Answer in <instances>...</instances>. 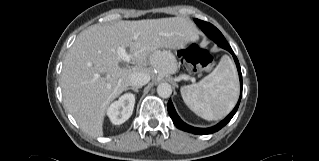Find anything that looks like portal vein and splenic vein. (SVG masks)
Here are the masks:
<instances>
[{"instance_id": "1", "label": "portal vein and splenic vein", "mask_w": 319, "mask_h": 161, "mask_svg": "<svg viewBox=\"0 0 319 161\" xmlns=\"http://www.w3.org/2000/svg\"><path fill=\"white\" fill-rule=\"evenodd\" d=\"M117 54L119 56V58L124 61L129 63L131 60V56L127 54L126 49L124 47H119L117 49ZM188 78L187 76L184 77V79Z\"/></svg>"}]
</instances>
